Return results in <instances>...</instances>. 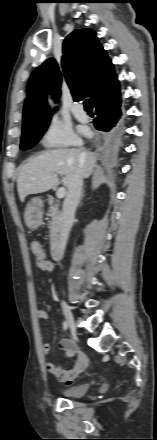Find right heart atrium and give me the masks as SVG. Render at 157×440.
Segmentation results:
<instances>
[{"mask_svg":"<svg viewBox=\"0 0 157 440\" xmlns=\"http://www.w3.org/2000/svg\"><path fill=\"white\" fill-rule=\"evenodd\" d=\"M80 142V137L67 120L58 116L48 118L41 138L44 147H70L78 145Z\"/></svg>","mask_w":157,"mask_h":440,"instance_id":"obj_1","label":"right heart atrium"}]
</instances>
